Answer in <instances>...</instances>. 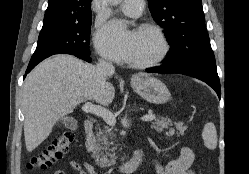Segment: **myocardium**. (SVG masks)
Masks as SVG:
<instances>
[{
	"label": "myocardium",
	"instance_id": "obj_1",
	"mask_svg": "<svg viewBox=\"0 0 249 174\" xmlns=\"http://www.w3.org/2000/svg\"><path fill=\"white\" fill-rule=\"evenodd\" d=\"M137 31H150L154 33L161 43V51L156 56L150 59L140 62H132L131 65L137 68H148L163 62L168 57L171 51L170 42L164 31L159 26L152 23H144L140 25Z\"/></svg>",
	"mask_w": 249,
	"mask_h": 174
}]
</instances>
